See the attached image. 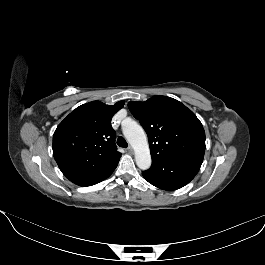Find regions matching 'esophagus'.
Segmentation results:
<instances>
[{"label": "esophagus", "mask_w": 265, "mask_h": 265, "mask_svg": "<svg viewBox=\"0 0 265 265\" xmlns=\"http://www.w3.org/2000/svg\"><path fill=\"white\" fill-rule=\"evenodd\" d=\"M127 150H128L129 153L133 154V148H132L131 146H129V147L127 148Z\"/></svg>", "instance_id": "obj_1"}]
</instances>
